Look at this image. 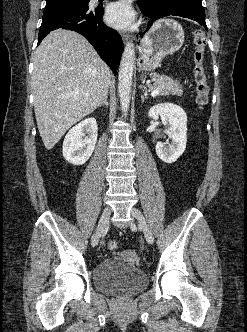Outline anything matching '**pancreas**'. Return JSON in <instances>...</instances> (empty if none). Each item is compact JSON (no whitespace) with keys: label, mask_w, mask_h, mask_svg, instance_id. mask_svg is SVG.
I'll use <instances>...</instances> for the list:
<instances>
[{"label":"pancreas","mask_w":247,"mask_h":332,"mask_svg":"<svg viewBox=\"0 0 247 332\" xmlns=\"http://www.w3.org/2000/svg\"><path fill=\"white\" fill-rule=\"evenodd\" d=\"M147 90L146 87H144ZM149 90H159V95L166 96L170 94L182 95V86L177 80H173L168 76L157 75L155 77V82L152 86H149Z\"/></svg>","instance_id":"pancreas-1"}]
</instances>
